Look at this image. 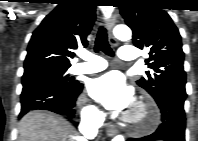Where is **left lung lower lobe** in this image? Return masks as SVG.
I'll use <instances>...</instances> for the list:
<instances>
[{
  "label": "left lung lower lobe",
  "mask_w": 198,
  "mask_h": 141,
  "mask_svg": "<svg viewBox=\"0 0 198 141\" xmlns=\"http://www.w3.org/2000/svg\"><path fill=\"white\" fill-rule=\"evenodd\" d=\"M186 92L164 91L155 99L161 110V124L157 131L149 136L129 141H185L184 101Z\"/></svg>",
  "instance_id": "left-lung-lower-lobe-1"
}]
</instances>
